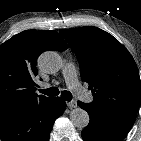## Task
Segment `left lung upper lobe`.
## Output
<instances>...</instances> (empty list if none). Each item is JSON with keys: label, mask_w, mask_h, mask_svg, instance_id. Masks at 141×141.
Here are the masks:
<instances>
[{"label": "left lung upper lobe", "mask_w": 141, "mask_h": 141, "mask_svg": "<svg viewBox=\"0 0 141 141\" xmlns=\"http://www.w3.org/2000/svg\"><path fill=\"white\" fill-rule=\"evenodd\" d=\"M80 63L81 78L89 84L91 103L113 113L138 112L141 81L128 50L109 33L92 26L61 30Z\"/></svg>", "instance_id": "left-lung-upper-lobe-1"}]
</instances>
